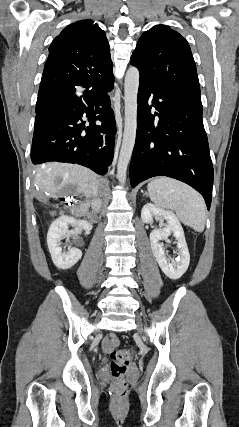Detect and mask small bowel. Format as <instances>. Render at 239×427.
I'll list each match as a JSON object with an SVG mask.
<instances>
[{"label":"small bowel","mask_w":239,"mask_h":427,"mask_svg":"<svg viewBox=\"0 0 239 427\" xmlns=\"http://www.w3.org/2000/svg\"><path fill=\"white\" fill-rule=\"evenodd\" d=\"M119 343L118 338L115 335H110L103 340L102 346L105 352H110Z\"/></svg>","instance_id":"1"}]
</instances>
